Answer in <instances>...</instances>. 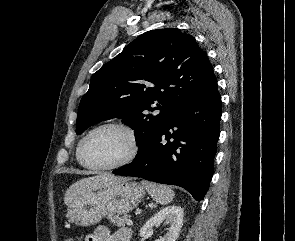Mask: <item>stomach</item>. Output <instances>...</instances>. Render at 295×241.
I'll use <instances>...</instances> for the list:
<instances>
[{
    "label": "stomach",
    "mask_w": 295,
    "mask_h": 241,
    "mask_svg": "<svg viewBox=\"0 0 295 241\" xmlns=\"http://www.w3.org/2000/svg\"><path fill=\"white\" fill-rule=\"evenodd\" d=\"M144 188L127 179L105 184L75 197L66 217L78 226H92L105 216L127 214L144 198Z\"/></svg>",
    "instance_id": "1"
}]
</instances>
